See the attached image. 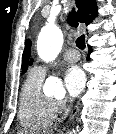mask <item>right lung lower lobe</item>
<instances>
[{
	"instance_id": "1",
	"label": "right lung lower lobe",
	"mask_w": 116,
	"mask_h": 134,
	"mask_svg": "<svg viewBox=\"0 0 116 134\" xmlns=\"http://www.w3.org/2000/svg\"><path fill=\"white\" fill-rule=\"evenodd\" d=\"M91 52H92V47L89 46V53H91Z\"/></svg>"
}]
</instances>
